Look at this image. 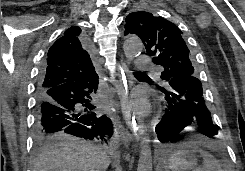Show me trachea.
Masks as SVG:
<instances>
[{
  "label": "trachea",
  "mask_w": 245,
  "mask_h": 171,
  "mask_svg": "<svg viewBox=\"0 0 245 171\" xmlns=\"http://www.w3.org/2000/svg\"><path fill=\"white\" fill-rule=\"evenodd\" d=\"M135 74H140V72H137V73H135Z\"/></svg>",
  "instance_id": "1"
}]
</instances>
